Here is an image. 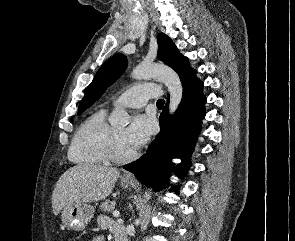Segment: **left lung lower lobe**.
Wrapping results in <instances>:
<instances>
[{"label":"left lung lower lobe","mask_w":295,"mask_h":241,"mask_svg":"<svg viewBox=\"0 0 295 241\" xmlns=\"http://www.w3.org/2000/svg\"><path fill=\"white\" fill-rule=\"evenodd\" d=\"M202 88L203 82L195 74L187 78L183 83V96L175 115L172 118L168 115V98L159 118L161 132L146 154L124 166L141 183L150 184L155 191L167 186L168 176L174 168L173 158L182 160L174 169L179 177H184L189 169L190 157L201 131V120L205 116L206 97ZM171 191L176 190L172 187Z\"/></svg>","instance_id":"0a47b994"}]
</instances>
